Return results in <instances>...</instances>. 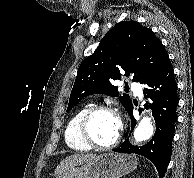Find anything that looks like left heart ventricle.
Returning <instances> with one entry per match:
<instances>
[{
  "mask_svg": "<svg viewBox=\"0 0 194 178\" xmlns=\"http://www.w3.org/2000/svg\"><path fill=\"white\" fill-rule=\"evenodd\" d=\"M91 137L100 144H108L115 139L119 132V121L111 113L99 112L89 122Z\"/></svg>",
  "mask_w": 194,
  "mask_h": 178,
  "instance_id": "obj_1",
  "label": "left heart ventricle"
}]
</instances>
